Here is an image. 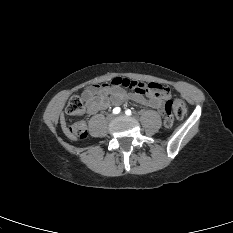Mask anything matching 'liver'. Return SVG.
<instances>
[{
	"mask_svg": "<svg viewBox=\"0 0 233 233\" xmlns=\"http://www.w3.org/2000/svg\"><path fill=\"white\" fill-rule=\"evenodd\" d=\"M63 105L64 103H61L60 110L63 108ZM60 123H61V127L63 131L65 132L67 128H66V122H65V117L63 113H61L60 115Z\"/></svg>",
	"mask_w": 233,
	"mask_h": 233,
	"instance_id": "obj_1",
	"label": "liver"
}]
</instances>
